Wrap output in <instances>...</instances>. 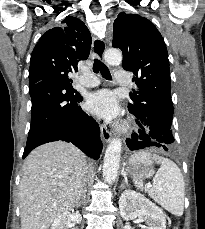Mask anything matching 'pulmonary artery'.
<instances>
[{"label":"pulmonary artery","mask_w":205,"mask_h":229,"mask_svg":"<svg viewBox=\"0 0 205 229\" xmlns=\"http://www.w3.org/2000/svg\"><path fill=\"white\" fill-rule=\"evenodd\" d=\"M130 75L126 70L119 69L115 72V81L120 85H127L130 83ZM80 83L85 87H94L99 84V80L92 74H84L80 79Z\"/></svg>","instance_id":"obj_1"}]
</instances>
